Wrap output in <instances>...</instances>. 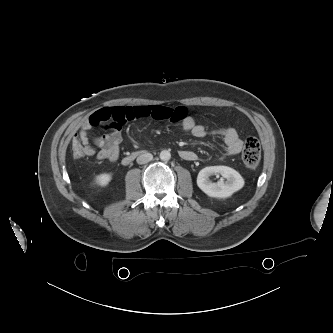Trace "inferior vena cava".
I'll return each mask as SVG.
<instances>
[{
  "label": "inferior vena cava",
  "mask_w": 333,
  "mask_h": 333,
  "mask_svg": "<svg viewBox=\"0 0 333 333\" xmlns=\"http://www.w3.org/2000/svg\"><path fill=\"white\" fill-rule=\"evenodd\" d=\"M153 159V155L151 153L145 152L137 157L138 164H146Z\"/></svg>",
  "instance_id": "1"
}]
</instances>
